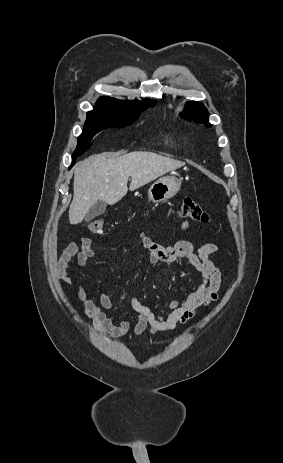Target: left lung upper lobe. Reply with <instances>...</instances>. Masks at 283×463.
<instances>
[{"label":"left lung upper lobe","mask_w":283,"mask_h":463,"mask_svg":"<svg viewBox=\"0 0 283 463\" xmlns=\"http://www.w3.org/2000/svg\"><path fill=\"white\" fill-rule=\"evenodd\" d=\"M180 116L189 121L205 124L207 127L211 126L208 121L209 113L203 104L199 102L186 103L185 110Z\"/></svg>","instance_id":"obj_1"}]
</instances>
